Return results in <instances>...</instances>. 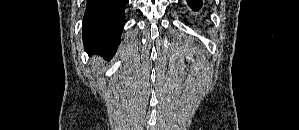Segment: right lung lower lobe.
<instances>
[{
  "mask_svg": "<svg viewBox=\"0 0 299 130\" xmlns=\"http://www.w3.org/2000/svg\"><path fill=\"white\" fill-rule=\"evenodd\" d=\"M128 0H88L83 18L87 52L112 58L120 43Z\"/></svg>",
  "mask_w": 299,
  "mask_h": 130,
  "instance_id": "1",
  "label": "right lung lower lobe"
}]
</instances>
